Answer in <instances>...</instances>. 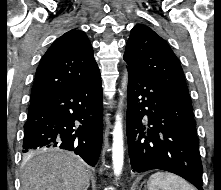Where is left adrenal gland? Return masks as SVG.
I'll return each instance as SVG.
<instances>
[{"mask_svg":"<svg viewBox=\"0 0 221 190\" xmlns=\"http://www.w3.org/2000/svg\"><path fill=\"white\" fill-rule=\"evenodd\" d=\"M143 183H144V182H143ZM143 183H142V184H143ZM141 186H142V185H141ZM144 190H146V187L144 188Z\"/></svg>","mask_w":221,"mask_h":190,"instance_id":"left-adrenal-gland-1","label":"left adrenal gland"}]
</instances>
